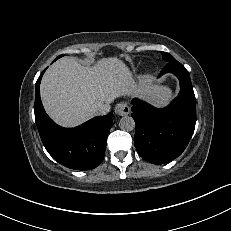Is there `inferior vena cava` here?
I'll return each instance as SVG.
<instances>
[{
  "instance_id": "1",
  "label": "inferior vena cava",
  "mask_w": 231,
  "mask_h": 231,
  "mask_svg": "<svg viewBox=\"0 0 231 231\" xmlns=\"http://www.w3.org/2000/svg\"><path fill=\"white\" fill-rule=\"evenodd\" d=\"M110 110L109 105H102L93 109L95 115H106Z\"/></svg>"
}]
</instances>
